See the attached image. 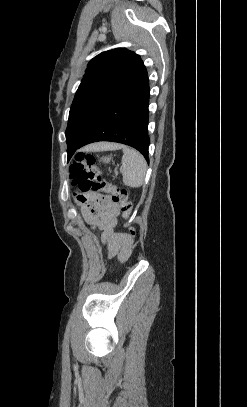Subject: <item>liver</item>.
<instances>
[{"label":"liver","mask_w":247,"mask_h":407,"mask_svg":"<svg viewBox=\"0 0 247 407\" xmlns=\"http://www.w3.org/2000/svg\"><path fill=\"white\" fill-rule=\"evenodd\" d=\"M118 147H119V145L114 144V143H98V144H94V145L90 146L89 149H92V150H112V149H116Z\"/></svg>","instance_id":"1"}]
</instances>
